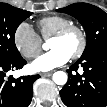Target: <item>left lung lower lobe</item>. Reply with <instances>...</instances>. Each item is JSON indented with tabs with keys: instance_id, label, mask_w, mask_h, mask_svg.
Here are the masks:
<instances>
[{
	"instance_id": "0a47b994",
	"label": "left lung lower lobe",
	"mask_w": 107,
	"mask_h": 107,
	"mask_svg": "<svg viewBox=\"0 0 107 107\" xmlns=\"http://www.w3.org/2000/svg\"><path fill=\"white\" fill-rule=\"evenodd\" d=\"M83 67V75L77 72ZM68 82L60 91L61 99L67 107L107 106V48L79 59L68 70Z\"/></svg>"
}]
</instances>
